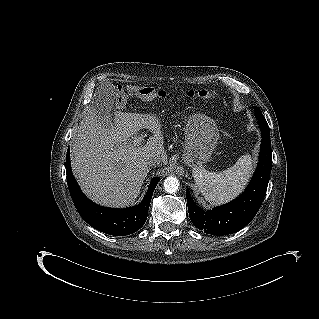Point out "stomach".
<instances>
[{"label": "stomach", "mask_w": 319, "mask_h": 319, "mask_svg": "<svg viewBox=\"0 0 319 319\" xmlns=\"http://www.w3.org/2000/svg\"><path fill=\"white\" fill-rule=\"evenodd\" d=\"M218 138L219 130L210 117L203 114L191 116L185 128L184 164L196 168L208 162Z\"/></svg>", "instance_id": "obj_1"}]
</instances>
